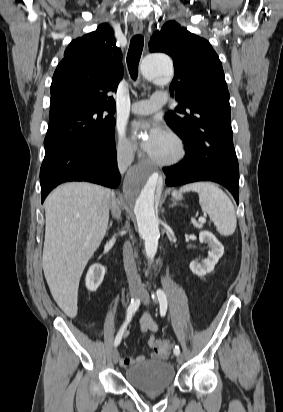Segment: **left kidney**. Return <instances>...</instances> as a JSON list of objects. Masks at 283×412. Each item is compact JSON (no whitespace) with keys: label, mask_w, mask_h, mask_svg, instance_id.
Returning <instances> with one entry per match:
<instances>
[{"label":"left kidney","mask_w":283,"mask_h":412,"mask_svg":"<svg viewBox=\"0 0 283 412\" xmlns=\"http://www.w3.org/2000/svg\"><path fill=\"white\" fill-rule=\"evenodd\" d=\"M199 240L200 242L207 243L209 245L210 250L208 252V257L202 260L201 263L192 261L190 263V269L194 274L198 276H204L214 270L215 265L223 256L224 247L209 231L200 232Z\"/></svg>","instance_id":"left-kidney-1"}]
</instances>
